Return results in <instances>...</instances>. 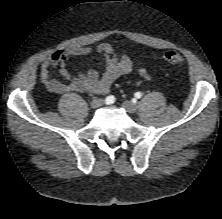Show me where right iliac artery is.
<instances>
[{
  "label": "right iliac artery",
  "instance_id": "obj_1",
  "mask_svg": "<svg viewBox=\"0 0 222 219\" xmlns=\"http://www.w3.org/2000/svg\"><path fill=\"white\" fill-rule=\"evenodd\" d=\"M105 101L107 104H112V103H114L115 98H114V96H108Z\"/></svg>",
  "mask_w": 222,
  "mask_h": 219
}]
</instances>
